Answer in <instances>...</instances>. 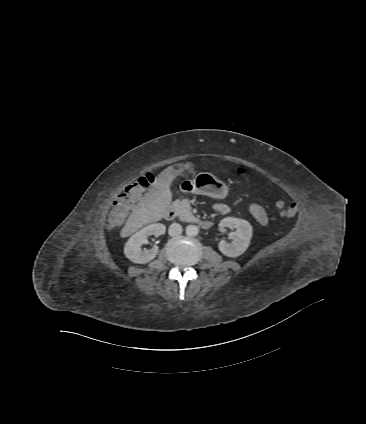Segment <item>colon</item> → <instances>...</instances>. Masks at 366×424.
<instances>
[{
	"label": "colon",
	"mask_w": 366,
	"mask_h": 424,
	"mask_svg": "<svg viewBox=\"0 0 366 424\" xmlns=\"http://www.w3.org/2000/svg\"><path fill=\"white\" fill-rule=\"evenodd\" d=\"M238 172L243 173V169L239 168ZM156 177L157 174L147 173L125 188L124 192L113 203L108 214L107 226L109 228H115L123 222L131 205L138 199L143 190L155 181ZM275 206L278 215L285 219L292 218L297 213L296 204H285L284 201L278 200Z\"/></svg>",
	"instance_id": "colon-1"
}]
</instances>
